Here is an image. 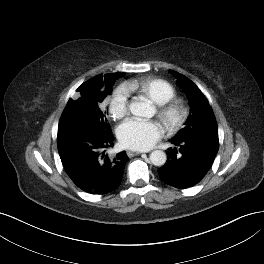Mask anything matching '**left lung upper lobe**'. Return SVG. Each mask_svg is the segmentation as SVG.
<instances>
[{
	"label": "left lung upper lobe",
	"mask_w": 264,
	"mask_h": 264,
	"mask_svg": "<svg viewBox=\"0 0 264 264\" xmlns=\"http://www.w3.org/2000/svg\"><path fill=\"white\" fill-rule=\"evenodd\" d=\"M190 101V113L182 128L172 139L183 140L193 136L218 138V127L212 108L199 88L185 76L170 70Z\"/></svg>",
	"instance_id": "left-lung-upper-lobe-1"
}]
</instances>
